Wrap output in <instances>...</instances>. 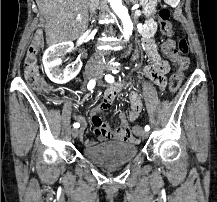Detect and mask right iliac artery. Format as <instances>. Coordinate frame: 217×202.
Listing matches in <instances>:
<instances>
[{
    "mask_svg": "<svg viewBox=\"0 0 217 202\" xmlns=\"http://www.w3.org/2000/svg\"><path fill=\"white\" fill-rule=\"evenodd\" d=\"M95 84H96L95 79L90 80L88 85H87L88 90H92L94 88ZM73 127L74 128H79L80 124L79 123H74Z\"/></svg>",
    "mask_w": 217,
    "mask_h": 202,
    "instance_id": "right-iliac-artery-1",
    "label": "right iliac artery"
}]
</instances>
